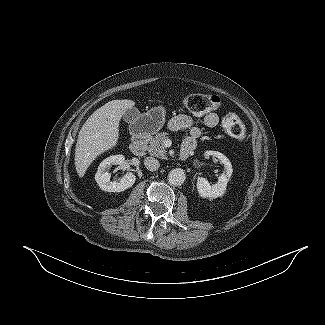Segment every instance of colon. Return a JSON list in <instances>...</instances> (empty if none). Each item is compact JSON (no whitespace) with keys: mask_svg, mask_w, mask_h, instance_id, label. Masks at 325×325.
I'll return each mask as SVG.
<instances>
[{"mask_svg":"<svg viewBox=\"0 0 325 325\" xmlns=\"http://www.w3.org/2000/svg\"><path fill=\"white\" fill-rule=\"evenodd\" d=\"M221 100L213 94H191L183 99L184 108L193 115H201L217 110ZM223 126L227 134L237 140L245 138V127L235 112H228L223 118Z\"/></svg>","mask_w":325,"mask_h":325,"instance_id":"obj_1","label":"colon"}]
</instances>
